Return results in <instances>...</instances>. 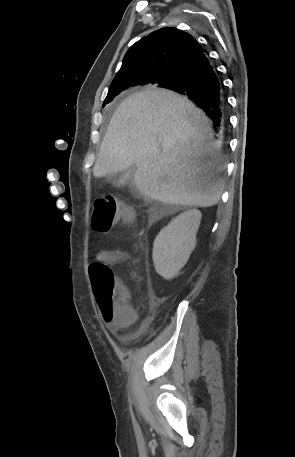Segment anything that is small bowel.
<instances>
[{"label":"small bowel","instance_id":"1","mask_svg":"<svg viewBox=\"0 0 295 457\" xmlns=\"http://www.w3.org/2000/svg\"><path fill=\"white\" fill-rule=\"evenodd\" d=\"M97 257L100 261L106 264L116 265L128 259L129 255L122 250H105L100 252ZM128 316L129 318L127 320H118L113 318L109 320L104 319V321L112 331L118 332L128 324L134 322L136 318V314L130 306L128 309Z\"/></svg>","mask_w":295,"mask_h":457}]
</instances>
